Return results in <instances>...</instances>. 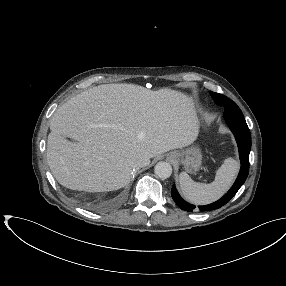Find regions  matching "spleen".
Segmentation results:
<instances>
[{"label": "spleen", "mask_w": 286, "mask_h": 286, "mask_svg": "<svg viewBox=\"0 0 286 286\" xmlns=\"http://www.w3.org/2000/svg\"><path fill=\"white\" fill-rule=\"evenodd\" d=\"M239 170V163L232 159H225L217 170L212 183H198L182 172L179 177L180 189L185 199L193 204L204 205L221 198L231 187Z\"/></svg>", "instance_id": "spleen-1"}]
</instances>
